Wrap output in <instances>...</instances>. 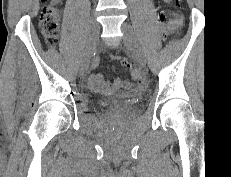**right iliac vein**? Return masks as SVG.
Returning a JSON list of instances; mask_svg holds the SVG:
<instances>
[{
	"instance_id": "obj_1",
	"label": "right iliac vein",
	"mask_w": 231,
	"mask_h": 177,
	"mask_svg": "<svg viewBox=\"0 0 231 177\" xmlns=\"http://www.w3.org/2000/svg\"><path fill=\"white\" fill-rule=\"evenodd\" d=\"M99 30H100V26L98 22L94 18H92L90 21L89 35H88V39L85 46L83 58L81 61V67H80V73L81 76L83 77L86 76V74L88 73L90 58L96 46Z\"/></svg>"
}]
</instances>
